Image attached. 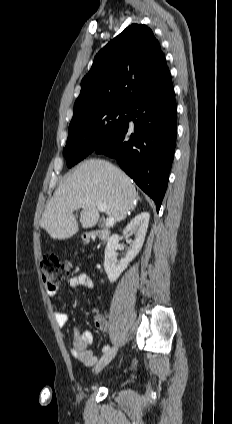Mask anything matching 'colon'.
<instances>
[{
  "instance_id": "1",
  "label": "colon",
  "mask_w": 232,
  "mask_h": 424,
  "mask_svg": "<svg viewBox=\"0 0 232 424\" xmlns=\"http://www.w3.org/2000/svg\"><path fill=\"white\" fill-rule=\"evenodd\" d=\"M42 280L48 289H55L72 273L71 262L54 253H46L40 261Z\"/></svg>"
}]
</instances>
